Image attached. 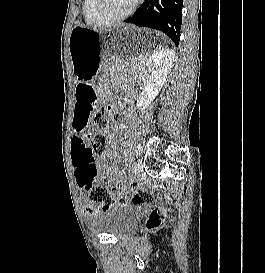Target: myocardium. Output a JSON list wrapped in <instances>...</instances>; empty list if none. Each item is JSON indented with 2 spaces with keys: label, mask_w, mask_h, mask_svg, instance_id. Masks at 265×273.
I'll list each match as a JSON object with an SVG mask.
<instances>
[{
  "label": "myocardium",
  "mask_w": 265,
  "mask_h": 273,
  "mask_svg": "<svg viewBox=\"0 0 265 273\" xmlns=\"http://www.w3.org/2000/svg\"><path fill=\"white\" fill-rule=\"evenodd\" d=\"M141 1L142 0H135L131 8L126 12L118 15H112L109 14L105 8L106 0H95V11L97 15L106 23H114L131 16L136 11Z\"/></svg>",
  "instance_id": "obj_1"
}]
</instances>
